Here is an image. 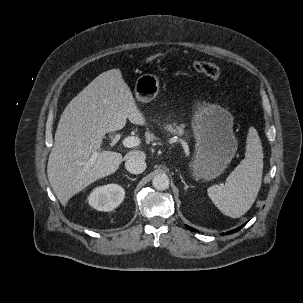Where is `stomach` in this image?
I'll return each mask as SVG.
<instances>
[{"mask_svg":"<svg viewBox=\"0 0 303 303\" xmlns=\"http://www.w3.org/2000/svg\"><path fill=\"white\" fill-rule=\"evenodd\" d=\"M159 93V78L141 75L135 83V96L148 103ZM195 154L190 168L196 179L211 180L227 168L237 151L233 133V116L219 105L198 103L192 118Z\"/></svg>","mask_w":303,"mask_h":303,"instance_id":"0dacf381","label":"stomach"}]
</instances>
